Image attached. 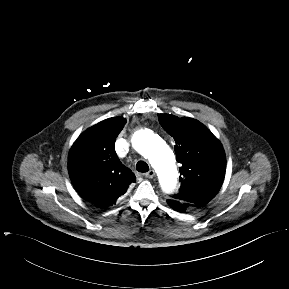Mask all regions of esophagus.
<instances>
[{
    "mask_svg": "<svg viewBox=\"0 0 289 289\" xmlns=\"http://www.w3.org/2000/svg\"><path fill=\"white\" fill-rule=\"evenodd\" d=\"M144 176L146 178H153L155 176V171L154 170H150L147 173H145Z\"/></svg>",
    "mask_w": 289,
    "mask_h": 289,
    "instance_id": "34e87169",
    "label": "esophagus"
}]
</instances>
